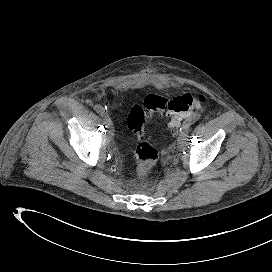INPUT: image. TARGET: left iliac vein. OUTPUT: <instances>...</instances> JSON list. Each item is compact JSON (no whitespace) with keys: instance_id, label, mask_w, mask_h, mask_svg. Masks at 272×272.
<instances>
[{"instance_id":"4c4485c4","label":"left iliac vein","mask_w":272,"mask_h":272,"mask_svg":"<svg viewBox=\"0 0 272 272\" xmlns=\"http://www.w3.org/2000/svg\"><path fill=\"white\" fill-rule=\"evenodd\" d=\"M188 132H189V128H186L179 135L178 147L180 149H182L186 144V137H187Z\"/></svg>"}]
</instances>
